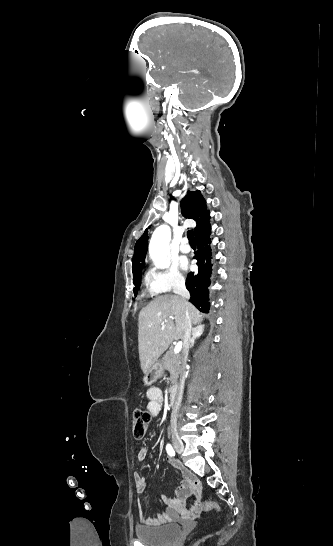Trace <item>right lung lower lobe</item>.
Wrapping results in <instances>:
<instances>
[{"label": "right lung lower lobe", "instance_id": "1", "mask_svg": "<svg viewBox=\"0 0 333 546\" xmlns=\"http://www.w3.org/2000/svg\"><path fill=\"white\" fill-rule=\"evenodd\" d=\"M210 234L209 226L195 237L198 250L195 252L194 259L197 260L198 271L190 272L186 279V288L191 295L190 302L204 313H208L210 309L209 286L214 264L209 245Z\"/></svg>", "mask_w": 333, "mask_h": 546}]
</instances>
